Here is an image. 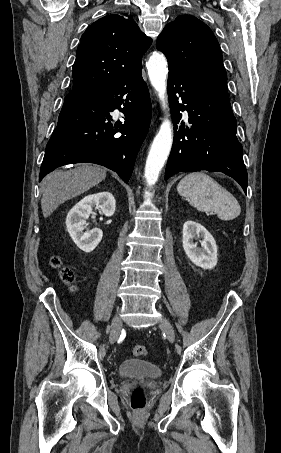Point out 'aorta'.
I'll list each match as a JSON object with an SVG mask.
<instances>
[{
	"mask_svg": "<svg viewBox=\"0 0 281 453\" xmlns=\"http://www.w3.org/2000/svg\"><path fill=\"white\" fill-rule=\"evenodd\" d=\"M147 71L152 87L158 94L163 111L168 109L167 74L168 63L163 54L154 52L147 62ZM173 128L170 118H164L151 145L145 166V179L153 186L159 177L172 147Z\"/></svg>",
	"mask_w": 281,
	"mask_h": 453,
	"instance_id": "aorta-1",
	"label": "aorta"
}]
</instances>
